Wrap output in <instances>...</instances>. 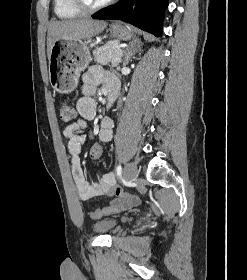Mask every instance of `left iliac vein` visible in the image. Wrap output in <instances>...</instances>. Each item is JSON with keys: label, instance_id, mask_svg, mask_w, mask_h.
Returning <instances> with one entry per match:
<instances>
[{"label": "left iliac vein", "instance_id": "4c4485c4", "mask_svg": "<svg viewBox=\"0 0 247 280\" xmlns=\"http://www.w3.org/2000/svg\"><path fill=\"white\" fill-rule=\"evenodd\" d=\"M124 176L128 181H133L138 176L137 166L134 163H128L125 166Z\"/></svg>", "mask_w": 247, "mask_h": 280}]
</instances>
